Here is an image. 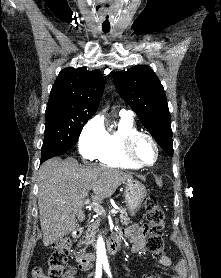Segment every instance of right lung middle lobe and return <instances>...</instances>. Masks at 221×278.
I'll return each instance as SVG.
<instances>
[{
  "label": "right lung middle lobe",
  "mask_w": 221,
  "mask_h": 278,
  "mask_svg": "<svg viewBox=\"0 0 221 278\" xmlns=\"http://www.w3.org/2000/svg\"><path fill=\"white\" fill-rule=\"evenodd\" d=\"M89 117H66L61 114H46L45 137L42 158L53 157L72 148Z\"/></svg>",
  "instance_id": "dd1d6c3e"
}]
</instances>
